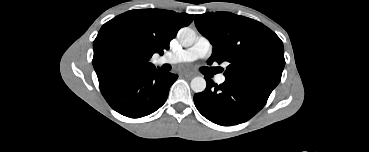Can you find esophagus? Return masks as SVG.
Listing matches in <instances>:
<instances>
[{
    "label": "esophagus",
    "instance_id": "1",
    "mask_svg": "<svg viewBox=\"0 0 369 152\" xmlns=\"http://www.w3.org/2000/svg\"><path fill=\"white\" fill-rule=\"evenodd\" d=\"M196 74L194 73V72H185L184 74H183V76L184 77H186V78H192V77H194Z\"/></svg>",
    "mask_w": 369,
    "mask_h": 152
}]
</instances>
